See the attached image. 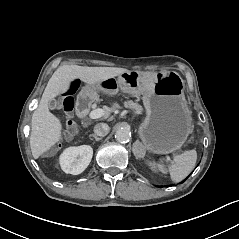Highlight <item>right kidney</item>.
Masks as SVG:
<instances>
[{
	"label": "right kidney",
	"instance_id": "1",
	"mask_svg": "<svg viewBox=\"0 0 239 239\" xmlns=\"http://www.w3.org/2000/svg\"><path fill=\"white\" fill-rule=\"evenodd\" d=\"M93 149L89 145L68 147L59 157L61 169L67 174L78 175L89 165Z\"/></svg>",
	"mask_w": 239,
	"mask_h": 239
}]
</instances>
